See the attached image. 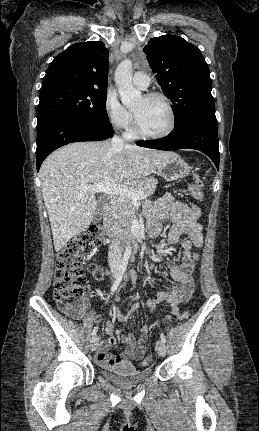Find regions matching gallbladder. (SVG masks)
Returning <instances> with one entry per match:
<instances>
[{"label": "gallbladder", "mask_w": 259, "mask_h": 431, "mask_svg": "<svg viewBox=\"0 0 259 431\" xmlns=\"http://www.w3.org/2000/svg\"><path fill=\"white\" fill-rule=\"evenodd\" d=\"M102 214H103V202L98 201L97 206H96V210H95V213L93 216V222H95V223L99 222L102 218Z\"/></svg>", "instance_id": "1"}]
</instances>
